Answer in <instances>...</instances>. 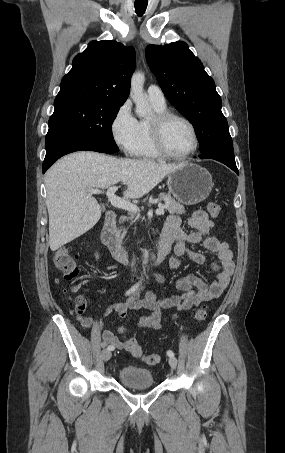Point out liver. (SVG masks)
<instances>
[{"instance_id":"liver-1","label":"liver","mask_w":285,"mask_h":453,"mask_svg":"<svg viewBox=\"0 0 285 453\" xmlns=\"http://www.w3.org/2000/svg\"><path fill=\"white\" fill-rule=\"evenodd\" d=\"M179 166L90 151L64 156L45 176L50 249L56 251L99 221L100 205L88 189H105L123 182L128 186L125 199L140 198Z\"/></svg>"}]
</instances>
